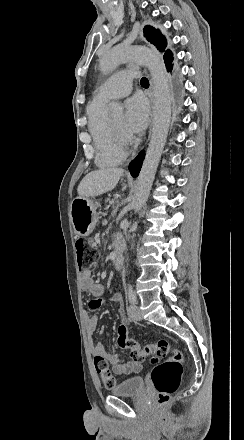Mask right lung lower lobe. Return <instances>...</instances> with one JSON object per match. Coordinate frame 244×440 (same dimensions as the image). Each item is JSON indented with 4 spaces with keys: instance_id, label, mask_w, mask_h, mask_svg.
Listing matches in <instances>:
<instances>
[{
    "instance_id": "right-lung-lower-lobe-1",
    "label": "right lung lower lobe",
    "mask_w": 244,
    "mask_h": 440,
    "mask_svg": "<svg viewBox=\"0 0 244 440\" xmlns=\"http://www.w3.org/2000/svg\"><path fill=\"white\" fill-rule=\"evenodd\" d=\"M145 157L144 151H142L129 165V170L133 177L138 176L142 166L143 159Z\"/></svg>"
}]
</instances>
